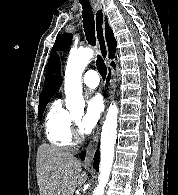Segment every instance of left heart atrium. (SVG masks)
I'll list each match as a JSON object with an SVG mask.
<instances>
[{
	"mask_svg": "<svg viewBox=\"0 0 178 195\" xmlns=\"http://www.w3.org/2000/svg\"><path fill=\"white\" fill-rule=\"evenodd\" d=\"M103 111V104L99 96H92L87 101L86 111L80 121L83 132H91L97 125Z\"/></svg>",
	"mask_w": 178,
	"mask_h": 195,
	"instance_id": "obj_1",
	"label": "left heart atrium"
}]
</instances>
